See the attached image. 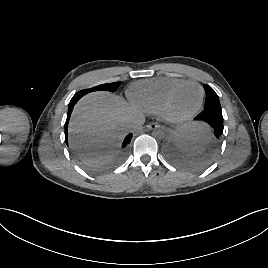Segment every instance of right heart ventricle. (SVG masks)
Wrapping results in <instances>:
<instances>
[{"mask_svg":"<svg viewBox=\"0 0 268 268\" xmlns=\"http://www.w3.org/2000/svg\"><path fill=\"white\" fill-rule=\"evenodd\" d=\"M185 82L184 79L174 77L137 81L129 87L128 97L136 109L147 114H159L168 93Z\"/></svg>","mask_w":268,"mask_h":268,"instance_id":"right-heart-ventricle-1","label":"right heart ventricle"}]
</instances>
